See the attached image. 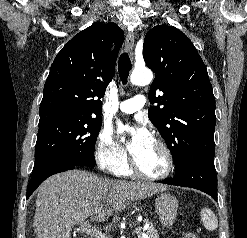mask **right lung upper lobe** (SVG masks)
<instances>
[{"label": "right lung upper lobe", "instance_id": "cb5924a9", "mask_svg": "<svg viewBox=\"0 0 247 238\" xmlns=\"http://www.w3.org/2000/svg\"><path fill=\"white\" fill-rule=\"evenodd\" d=\"M123 32L114 23H94L58 53L46 80L39 124L82 117H101L107 85L114 76ZM113 41L115 49L110 50Z\"/></svg>", "mask_w": 247, "mask_h": 238}]
</instances>
